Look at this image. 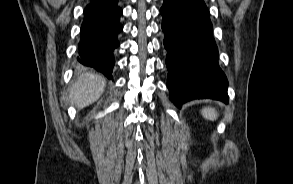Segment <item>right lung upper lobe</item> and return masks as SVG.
Instances as JSON below:
<instances>
[{
  "label": "right lung upper lobe",
  "mask_w": 293,
  "mask_h": 184,
  "mask_svg": "<svg viewBox=\"0 0 293 184\" xmlns=\"http://www.w3.org/2000/svg\"><path fill=\"white\" fill-rule=\"evenodd\" d=\"M105 1H108V0H91V2H105Z\"/></svg>",
  "instance_id": "1"
}]
</instances>
